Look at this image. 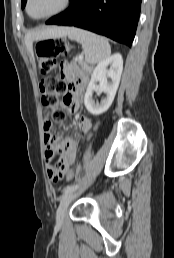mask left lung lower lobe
I'll return each mask as SVG.
<instances>
[{"label":"left lung lower lobe","instance_id":"left-lung-lower-lobe-1","mask_svg":"<svg viewBox=\"0 0 174 258\" xmlns=\"http://www.w3.org/2000/svg\"><path fill=\"white\" fill-rule=\"evenodd\" d=\"M142 0H71L67 10L46 24L83 28L131 47Z\"/></svg>","mask_w":174,"mask_h":258}]
</instances>
